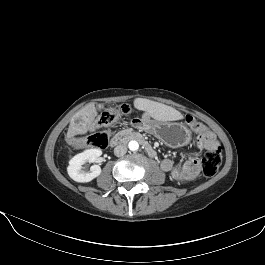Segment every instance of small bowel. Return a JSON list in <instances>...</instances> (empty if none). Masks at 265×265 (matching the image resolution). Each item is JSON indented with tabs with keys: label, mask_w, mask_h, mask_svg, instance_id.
<instances>
[{
	"label": "small bowel",
	"mask_w": 265,
	"mask_h": 265,
	"mask_svg": "<svg viewBox=\"0 0 265 265\" xmlns=\"http://www.w3.org/2000/svg\"><path fill=\"white\" fill-rule=\"evenodd\" d=\"M198 133L197 146L200 149L218 146L216 136L207 128L203 132ZM161 168L169 173L175 181L185 183L197 177L199 173V161L196 155H192L186 159L182 166H177L171 159H164L161 162Z\"/></svg>",
	"instance_id": "obj_1"
}]
</instances>
